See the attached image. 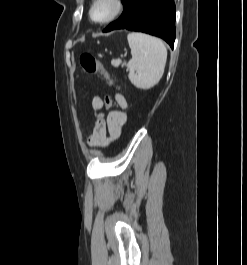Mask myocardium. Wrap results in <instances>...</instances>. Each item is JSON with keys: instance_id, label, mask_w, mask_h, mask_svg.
Listing matches in <instances>:
<instances>
[{"instance_id": "1", "label": "myocardium", "mask_w": 247, "mask_h": 265, "mask_svg": "<svg viewBox=\"0 0 247 265\" xmlns=\"http://www.w3.org/2000/svg\"><path fill=\"white\" fill-rule=\"evenodd\" d=\"M101 2H107L110 5L111 8L110 12L103 19H95L93 15L94 9ZM125 9H126L125 0H93L89 8V17L92 22L99 25H105L118 19L125 12Z\"/></svg>"}]
</instances>
